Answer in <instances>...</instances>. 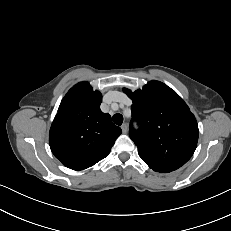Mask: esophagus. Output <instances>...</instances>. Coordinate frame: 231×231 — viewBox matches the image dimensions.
Segmentation results:
<instances>
[{"mask_svg": "<svg viewBox=\"0 0 231 231\" xmlns=\"http://www.w3.org/2000/svg\"><path fill=\"white\" fill-rule=\"evenodd\" d=\"M121 129H122V132H123L124 134H126L127 131H128V127H127L126 124H122Z\"/></svg>", "mask_w": 231, "mask_h": 231, "instance_id": "esophagus-1", "label": "esophagus"}]
</instances>
